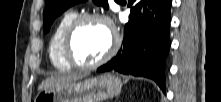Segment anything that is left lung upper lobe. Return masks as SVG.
<instances>
[{
  "label": "left lung upper lobe",
  "mask_w": 221,
  "mask_h": 102,
  "mask_svg": "<svg viewBox=\"0 0 221 102\" xmlns=\"http://www.w3.org/2000/svg\"><path fill=\"white\" fill-rule=\"evenodd\" d=\"M86 0H46V6L43 13V27L46 32L49 31L53 21L70 6L85 2ZM99 6L108 8L107 0H93Z\"/></svg>",
  "instance_id": "1"
}]
</instances>
